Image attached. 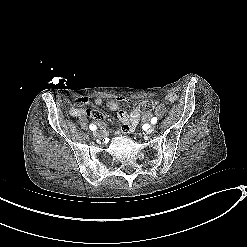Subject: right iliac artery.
Returning <instances> with one entry per match:
<instances>
[{
  "instance_id": "right-iliac-artery-1",
  "label": "right iliac artery",
  "mask_w": 247,
  "mask_h": 247,
  "mask_svg": "<svg viewBox=\"0 0 247 247\" xmlns=\"http://www.w3.org/2000/svg\"><path fill=\"white\" fill-rule=\"evenodd\" d=\"M89 128H90L91 130H96V129H97V127H96L94 124H91V125L89 126Z\"/></svg>"
}]
</instances>
